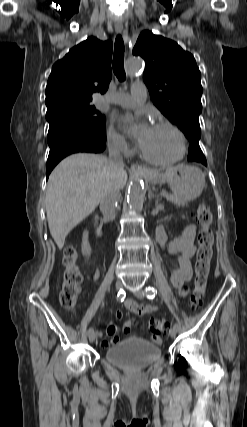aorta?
Masks as SVG:
<instances>
[{"label":"aorta","instance_id":"1","mask_svg":"<svg viewBox=\"0 0 247 427\" xmlns=\"http://www.w3.org/2000/svg\"><path fill=\"white\" fill-rule=\"evenodd\" d=\"M143 67V61L140 58L132 57L126 62V72L129 76H135L138 74ZM145 198L144 184L140 176L134 174L131 178L128 193L127 203L131 210L139 209Z\"/></svg>","mask_w":247,"mask_h":427}]
</instances>
